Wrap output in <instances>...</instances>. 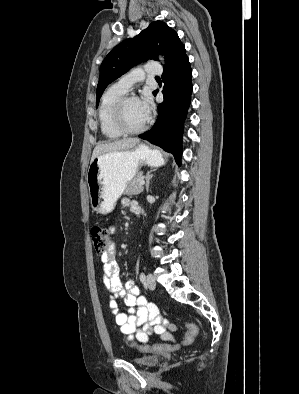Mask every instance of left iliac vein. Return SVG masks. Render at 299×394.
I'll list each match as a JSON object with an SVG mask.
<instances>
[{"label": "left iliac vein", "mask_w": 299, "mask_h": 394, "mask_svg": "<svg viewBox=\"0 0 299 394\" xmlns=\"http://www.w3.org/2000/svg\"><path fill=\"white\" fill-rule=\"evenodd\" d=\"M146 287L150 290L155 289L156 283L152 274H148L146 278Z\"/></svg>", "instance_id": "obj_1"}]
</instances>
